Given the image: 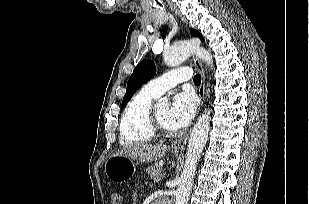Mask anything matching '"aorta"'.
Listing matches in <instances>:
<instances>
[{
  "label": "aorta",
  "instance_id": "aorta-1",
  "mask_svg": "<svg viewBox=\"0 0 309 204\" xmlns=\"http://www.w3.org/2000/svg\"><path fill=\"white\" fill-rule=\"evenodd\" d=\"M191 54H195L212 67L213 60L210 52L192 41L175 43L164 51L163 57L167 66L175 67L184 62ZM209 120L210 111L205 109L192 129L187 147L184 169L175 194V204H187L188 202L197 163L207 142L210 125Z\"/></svg>",
  "mask_w": 309,
  "mask_h": 204
}]
</instances>
